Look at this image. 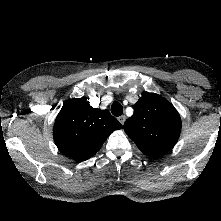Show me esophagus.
I'll return each instance as SVG.
<instances>
[{
	"mask_svg": "<svg viewBox=\"0 0 221 221\" xmlns=\"http://www.w3.org/2000/svg\"><path fill=\"white\" fill-rule=\"evenodd\" d=\"M118 120H119V122L123 125L124 122H125V120H126V116H125V115H122V116L118 117Z\"/></svg>",
	"mask_w": 221,
	"mask_h": 221,
	"instance_id": "1",
	"label": "esophagus"
}]
</instances>
